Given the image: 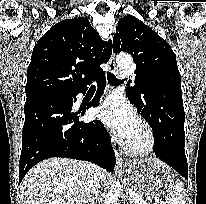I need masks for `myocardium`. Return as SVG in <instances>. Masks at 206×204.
<instances>
[{
	"mask_svg": "<svg viewBox=\"0 0 206 204\" xmlns=\"http://www.w3.org/2000/svg\"><path fill=\"white\" fill-rule=\"evenodd\" d=\"M137 123L141 128L143 140L137 144L126 140L124 149L128 154L133 156H146L151 154L156 148V134L151 124L145 118L138 117Z\"/></svg>",
	"mask_w": 206,
	"mask_h": 204,
	"instance_id": "1",
	"label": "myocardium"
}]
</instances>
